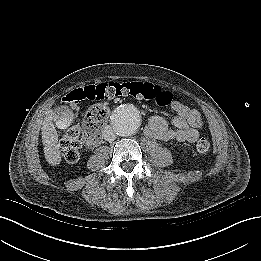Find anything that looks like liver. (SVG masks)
<instances>
[{
    "label": "liver",
    "mask_w": 261,
    "mask_h": 261,
    "mask_svg": "<svg viewBox=\"0 0 261 261\" xmlns=\"http://www.w3.org/2000/svg\"><path fill=\"white\" fill-rule=\"evenodd\" d=\"M72 120L73 115L71 112H63L62 115H60L56 111L48 110L46 113L41 128L42 143L44 146L45 159L52 166H56L61 162V151L55 126L60 129H66Z\"/></svg>",
    "instance_id": "liver-1"
}]
</instances>
